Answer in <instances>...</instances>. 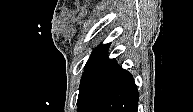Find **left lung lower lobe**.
<instances>
[{"label":"left lung lower lobe","mask_w":193,"mask_h":112,"mask_svg":"<svg viewBox=\"0 0 193 112\" xmlns=\"http://www.w3.org/2000/svg\"><path fill=\"white\" fill-rule=\"evenodd\" d=\"M110 44L96 48L85 65L78 112H137L138 90L132 75L109 59Z\"/></svg>","instance_id":"1"}]
</instances>
